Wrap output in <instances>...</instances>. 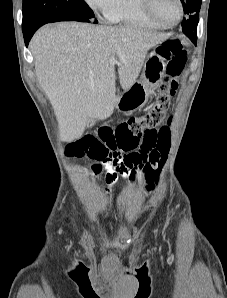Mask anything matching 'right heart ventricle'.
Here are the masks:
<instances>
[{"mask_svg": "<svg viewBox=\"0 0 227 298\" xmlns=\"http://www.w3.org/2000/svg\"><path fill=\"white\" fill-rule=\"evenodd\" d=\"M106 19L124 26L160 29L162 26L149 19L142 8V0H113L104 12Z\"/></svg>", "mask_w": 227, "mask_h": 298, "instance_id": "1", "label": "right heart ventricle"}]
</instances>
